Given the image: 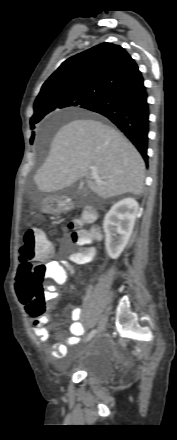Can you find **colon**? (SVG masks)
Masks as SVG:
<instances>
[{
	"label": "colon",
	"instance_id": "1",
	"mask_svg": "<svg viewBox=\"0 0 177 440\" xmlns=\"http://www.w3.org/2000/svg\"><path fill=\"white\" fill-rule=\"evenodd\" d=\"M92 219L93 214L88 212L81 219L70 223L69 227L73 229L70 239L75 245L83 247L99 236L96 229H76ZM51 254V243L41 230L31 229L24 234L19 250L21 263L16 291L19 300L26 305L32 316H39L45 309L44 301L48 292L44 284L49 279L50 273L44 260ZM94 256L95 252L93 250L82 248L71 257L75 263L82 264L92 260ZM64 270L67 274L72 271V268L64 266Z\"/></svg>",
	"mask_w": 177,
	"mask_h": 440
}]
</instances>
